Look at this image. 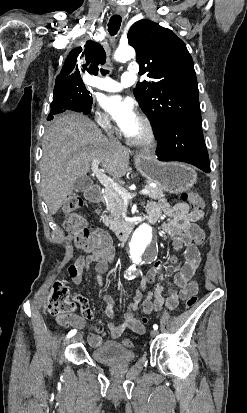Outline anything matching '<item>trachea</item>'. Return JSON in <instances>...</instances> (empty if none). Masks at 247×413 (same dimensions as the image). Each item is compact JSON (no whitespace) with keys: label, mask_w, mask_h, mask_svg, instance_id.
Segmentation results:
<instances>
[{"label":"trachea","mask_w":247,"mask_h":413,"mask_svg":"<svg viewBox=\"0 0 247 413\" xmlns=\"http://www.w3.org/2000/svg\"><path fill=\"white\" fill-rule=\"evenodd\" d=\"M121 25V16L113 15L108 23V31L110 35H116ZM102 75L109 73L107 70H101Z\"/></svg>","instance_id":"obj_1"}]
</instances>
